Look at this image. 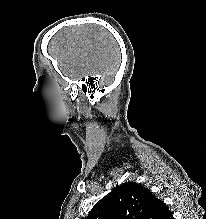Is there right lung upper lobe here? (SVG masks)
I'll return each mask as SVG.
<instances>
[{
  "mask_svg": "<svg viewBox=\"0 0 206 219\" xmlns=\"http://www.w3.org/2000/svg\"><path fill=\"white\" fill-rule=\"evenodd\" d=\"M86 219H173V215L149 189L127 182L97 202Z\"/></svg>",
  "mask_w": 206,
  "mask_h": 219,
  "instance_id": "obj_1",
  "label": "right lung upper lobe"
}]
</instances>
